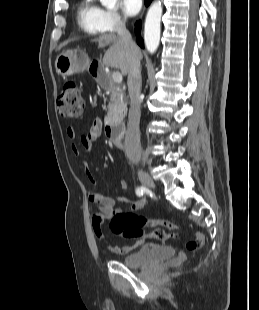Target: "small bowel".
<instances>
[{
	"label": "small bowel",
	"instance_id": "small-bowel-1",
	"mask_svg": "<svg viewBox=\"0 0 259 310\" xmlns=\"http://www.w3.org/2000/svg\"><path fill=\"white\" fill-rule=\"evenodd\" d=\"M102 133V121L100 118H95L89 127L88 131L82 134L79 138V144L72 143L71 151L74 155L80 154V147L86 151H91L94 143L100 137ZM66 135L70 140L75 139L76 133L72 127H68ZM85 174L92 185L93 191L88 196L89 211L91 214V223L93 230L98 240L107 248L112 250L114 253L119 255H127L131 253L135 248L140 246L144 240H139L131 246H119L110 242L104 231V223L106 220L111 219L112 216L121 212L116 208V201L113 197L103 195L97 191L98 183L93 175V172L89 164L85 163ZM120 189L126 188V183L122 181L120 183ZM147 205L146 198H140L139 200L132 202L128 206L130 211H138L143 209Z\"/></svg>",
	"mask_w": 259,
	"mask_h": 310
}]
</instances>
